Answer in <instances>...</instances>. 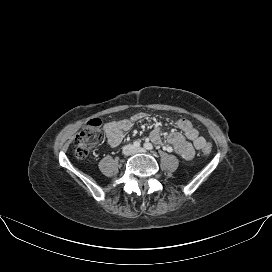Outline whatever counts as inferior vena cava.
Listing matches in <instances>:
<instances>
[{
	"label": "inferior vena cava",
	"instance_id": "obj_1",
	"mask_svg": "<svg viewBox=\"0 0 272 272\" xmlns=\"http://www.w3.org/2000/svg\"><path fill=\"white\" fill-rule=\"evenodd\" d=\"M135 152V149L133 148L132 145H125L123 147V154L124 155H130V154H133Z\"/></svg>",
	"mask_w": 272,
	"mask_h": 272
}]
</instances>
